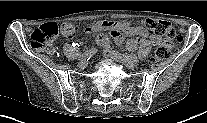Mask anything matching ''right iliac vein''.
<instances>
[{
    "mask_svg": "<svg viewBox=\"0 0 207 123\" xmlns=\"http://www.w3.org/2000/svg\"><path fill=\"white\" fill-rule=\"evenodd\" d=\"M78 66H79L81 69H84V68L86 67V62H85L84 60H81V61H79Z\"/></svg>",
    "mask_w": 207,
    "mask_h": 123,
    "instance_id": "1",
    "label": "right iliac vein"
}]
</instances>
